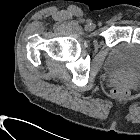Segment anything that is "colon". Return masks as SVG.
<instances>
[{
    "instance_id": "obj_1",
    "label": "colon",
    "mask_w": 140,
    "mask_h": 140,
    "mask_svg": "<svg viewBox=\"0 0 140 140\" xmlns=\"http://www.w3.org/2000/svg\"><path fill=\"white\" fill-rule=\"evenodd\" d=\"M130 95V89L126 86H117L112 90V96L118 99L127 98Z\"/></svg>"
}]
</instances>
